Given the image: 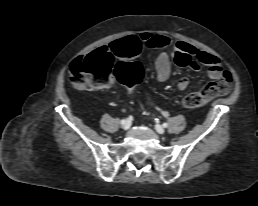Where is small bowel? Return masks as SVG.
I'll return each instance as SVG.
<instances>
[{
	"mask_svg": "<svg viewBox=\"0 0 258 206\" xmlns=\"http://www.w3.org/2000/svg\"><path fill=\"white\" fill-rule=\"evenodd\" d=\"M172 47V53L167 52L168 47ZM143 48L158 49L160 53L155 61L156 78L160 82H165L170 77L171 62L181 67H188L199 71L202 66L208 67V76L213 80H218L223 76L224 69L220 59L208 52L202 51L184 41H175L169 36L150 32L140 35H129L112 42L109 46H102L101 50L111 56L132 57L137 55ZM189 79L182 77L177 87L180 91L187 89ZM114 82H109L107 87H113Z\"/></svg>",
	"mask_w": 258,
	"mask_h": 206,
	"instance_id": "c3829d8e",
	"label": "small bowel"
}]
</instances>
